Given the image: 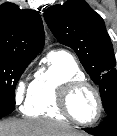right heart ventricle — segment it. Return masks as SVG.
Returning <instances> with one entry per match:
<instances>
[{"label": "right heart ventricle", "mask_w": 117, "mask_h": 136, "mask_svg": "<svg viewBox=\"0 0 117 136\" xmlns=\"http://www.w3.org/2000/svg\"><path fill=\"white\" fill-rule=\"evenodd\" d=\"M84 78L77 61L70 53L63 50L50 52L32 81L24 113L31 117L66 120L58 107L59 90L69 81Z\"/></svg>", "instance_id": "obj_1"}]
</instances>
